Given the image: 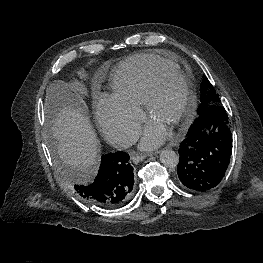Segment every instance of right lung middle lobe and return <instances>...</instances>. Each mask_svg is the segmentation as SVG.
I'll return each instance as SVG.
<instances>
[{
	"instance_id": "1",
	"label": "right lung middle lobe",
	"mask_w": 263,
	"mask_h": 263,
	"mask_svg": "<svg viewBox=\"0 0 263 263\" xmlns=\"http://www.w3.org/2000/svg\"><path fill=\"white\" fill-rule=\"evenodd\" d=\"M55 159H56L57 168H58V171L61 177L70 183H73L74 181H76L77 175L75 174V172L71 170L70 168H67L66 166H64L63 160L60 157H57V155H55Z\"/></svg>"
}]
</instances>
